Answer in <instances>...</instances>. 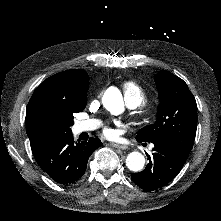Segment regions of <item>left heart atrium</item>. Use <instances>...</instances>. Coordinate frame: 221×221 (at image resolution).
I'll return each mask as SVG.
<instances>
[{"label":"left heart atrium","instance_id":"1","mask_svg":"<svg viewBox=\"0 0 221 221\" xmlns=\"http://www.w3.org/2000/svg\"><path fill=\"white\" fill-rule=\"evenodd\" d=\"M103 135L105 138L111 139L115 136V131L112 128H106L103 131Z\"/></svg>","mask_w":221,"mask_h":221}]
</instances>
